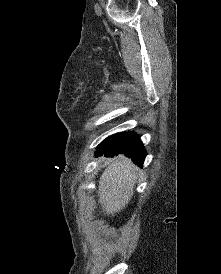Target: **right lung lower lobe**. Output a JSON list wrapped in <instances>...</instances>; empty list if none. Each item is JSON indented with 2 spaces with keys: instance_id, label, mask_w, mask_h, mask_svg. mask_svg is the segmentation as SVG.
Segmentation results:
<instances>
[{
  "instance_id": "obj_1",
  "label": "right lung lower lobe",
  "mask_w": 221,
  "mask_h": 274,
  "mask_svg": "<svg viewBox=\"0 0 221 274\" xmlns=\"http://www.w3.org/2000/svg\"><path fill=\"white\" fill-rule=\"evenodd\" d=\"M96 153L105 154L106 157L122 153L138 165H143L146 156L140 137L133 132L118 133L106 138L98 145Z\"/></svg>"
}]
</instances>
